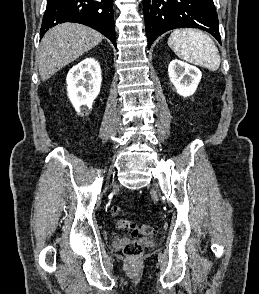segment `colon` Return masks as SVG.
<instances>
[{"label":"colon","mask_w":259,"mask_h":294,"mask_svg":"<svg viewBox=\"0 0 259 294\" xmlns=\"http://www.w3.org/2000/svg\"><path fill=\"white\" fill-rule=\"evenodd\" d=\"M121 211L122 209L119 206H112L110 208V214L113 217L119 216ZM116 225L120 229L132 230L141 235H151L155 232V227L152 225H149V224L137 225L134 222L124 220V219L117 220ZM123 251L128 258L137 259L143 253V246L138 241H130L124 246Z\"/></svg>","instance_id":"colon-1"}]
</instances>
